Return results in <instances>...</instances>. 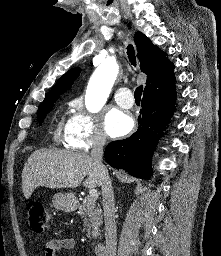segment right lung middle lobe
Returning <instances> with one entry per match:
<instances>
[{
    "mask_svg": "<svg viewBox=\"0 0 221 256\" xmlns=\"http://www.w3.org/2000/svg\"><path fill=\"white\" fill-rule=\"evenodd\" d=\"M59 98V96H52L47 99H45L42 104L40 105L37 113L39 125L42 124L43 120L45 119V116L49 111L52 109L54 102Z\"/></svg>",
    "mask_w": 221,
    "mask_h": 256,
    "instance_id": "dd1d6c3e",
    "label": "right lung middle lobe"
}]
</instances>
